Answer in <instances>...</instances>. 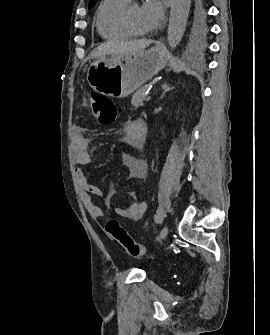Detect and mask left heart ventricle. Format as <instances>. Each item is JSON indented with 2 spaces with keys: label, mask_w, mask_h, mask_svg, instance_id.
<instances>
[{
  "label": "left heart ventricle",
  "mask_w": 270,
  "mask_h": 335,
  "mask_svg": "<svg viewBox=\"0 0 270 335\" xmlns=\"http://www.w3.org/2000/svg\"><path fill=\"white\" fill-rule=\"evenodd\" d=\"M128 22L135 32L142 31L141 26V8L138 5L130 6L126 9Z\"/></svg>",
  "instance_id": "b2bd125f"
}]
</instances>
